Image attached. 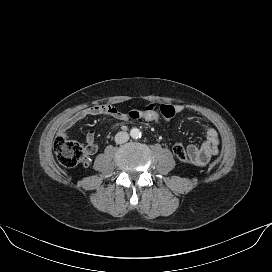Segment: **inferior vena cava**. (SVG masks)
<instances>
[{"instance_id":"1","label":"inferior vena cava","mask_w":272,"mask_h":272,"mask_svg":"<svg viewBox=\"0 0 272 272\" xmlns=\"http://www.w3.org/2000/svg\"><path fill=\"white\" fill-rule=\"evenodd\" d=\"M129 140V134L127 132H118L116 135H115V142L117 144H122V143H125Z\"/></svg>"}]
</instances>
